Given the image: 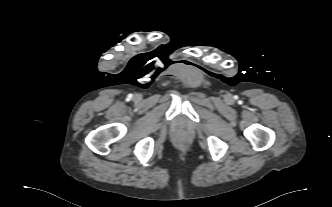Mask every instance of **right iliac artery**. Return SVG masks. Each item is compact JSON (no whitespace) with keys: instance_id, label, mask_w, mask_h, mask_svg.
Returning a JSON list of instances; mask_svg holds the SVG:
<instances>
[{"instance_id":"obj_1","label":"right iliac artery","mask_w":332,"mask_h":207,"mask_svg":"<svg viewBox=\"0 0 332 207\" xmlns=\"http://www.w3.org/2000/svg\"><path fill=\"white\" fill-rule=\"evenodd\" d=\"M131 97H132V95L130 94V95H129V98H131Z\"/></svg>"}]
</instances>
